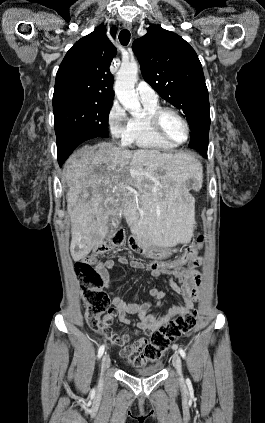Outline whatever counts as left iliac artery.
<instances>
[{
  "mask_svg": "<svg viewBox=\"0 0 265 423\" xmlns=\"http://www.w3.org/2000/svg\"><path fill=\"white\" fill-rule=\"evenodd\" d=\"M179 353H180V355H181V357L182 358H185L186 357V353H185V351L183 350V349H179Z\"/></svg>",
  "mask_w": 265,
  "mask_h": 423,
  "instance_id": "obj_1",
  "label": "left iliac artery"
}]
</instances>
